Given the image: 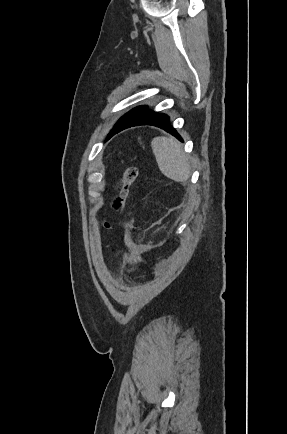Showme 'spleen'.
I'll return each instance as SVG.
<instances>
[{"label":"spleen","instance_id":"obj_1","mask_svg":"<svg viewBox=\"0 0 287 434\" xmlns=\"http://www.w3.org/2000/svg\"><path fill=\"white\" fill-rule=\"evenodd\" d=\"M160 171L169 179L185 182L191 175V167L182 145L173 137H155L151 142Z\"/></svg>","mask_w":287,"mask_h":434}]
</instances>
